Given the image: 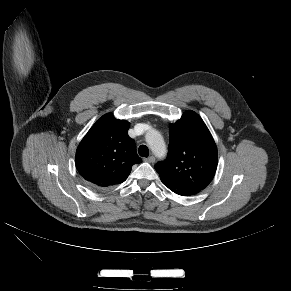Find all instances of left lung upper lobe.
I'll return each instance as SVG.
<instances>
[{
    "mask_svg": "<svg viewBox=\"0 0 291 291\" xmlns=\"http://www.w3.org/2000/svg\"><path fill=\"white\" fill-rule=\"evenodd\" d=\"M170 144L165 161L155 165L161 179L181 184L196 192L213 179L218 162L217 147L200 116L186 111L170 124Z\"/></svg>",
    "mask_w": 291,
    "mask_h": 291,
    "instance_id": "obj_1",
    "label": "left lung upper lobe"
}]
</instances>
